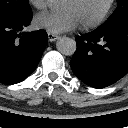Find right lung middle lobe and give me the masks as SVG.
<instances>
[{"label":"right lung middle lobe","instance_id":"obj_1","mask_svg":"<svg viewBox=\"0 0 128 128\" xmlns=\"http://www.w3.org/2000/svg\"><path fill=\"white\" fill-rule=\"evenodd\" d=\"M30 16L28 0H0V20L16 21Z\"/></svg>","mask_w":128,"mask_h":128}]
</instances>
